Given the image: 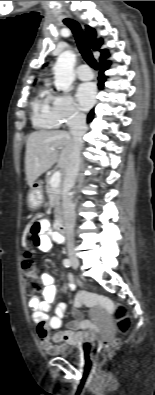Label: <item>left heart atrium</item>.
I'll list each match as a JSON object with an SVG mask.
<instances>
[{"label": "left heart atrium", "mask_w": 155, "mask_h": 395, "mask_svg": "<svg viewBox=\"0 0 155 395\" xmlns=\"http://www.w3.org/2000/svg\"><path fill=\"white\" fill-rule=\"evenodd\" d=\"M77 100L82 109H89L96 98V87L93 83L81 84L76 93Z\"/></svg>", "instance_id": "1"}]
</instances>
